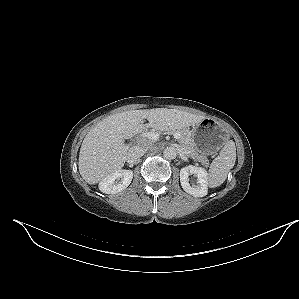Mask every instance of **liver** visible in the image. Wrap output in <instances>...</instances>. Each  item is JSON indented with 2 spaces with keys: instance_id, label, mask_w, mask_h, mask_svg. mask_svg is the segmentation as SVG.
<instances>
[{
  "instance_id": "obj_1",
  "label": "liver",
  "mask_w": 299,
  "mask_h": 299,
  "mask_svg": "<svg viewBox=\"0 0 299 299\" xmlns=\"http://www.w3.org/2000/svg\"><path fill=\"white\" fill-rule=\"evenodd\" d=\"M147 119L149 123L143 124ZM205 117L175 109L131 110L110 115L85 136L79 153V172L88 184H96L120 170L128 157L125 139L147 127L156 130L183 129L200 123Z\"/></svg>"
}]
</instances>
